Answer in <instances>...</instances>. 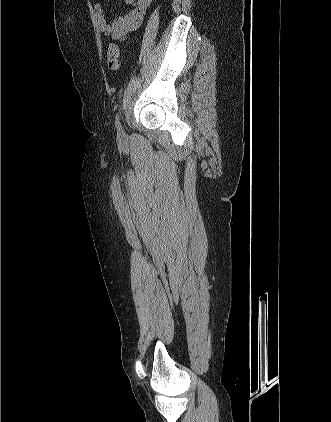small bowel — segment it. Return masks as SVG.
<instances>
[{
  "label": "small bowel",
  "instance_id": "small-bowel-1",
  "mask_svg": "<svg viewBox=\"0 0 331 422\" xmlns=\"http://www.w3.org/2000/svg\"><path fill=\"white\" fill-rule=\"evenodd\" d=\"M132 8L124 15L108 23L101 3L94 5L95 18L99 31L116 41H124L129 33L141 24L151 0H124Z\"/></svg>",
  "mask_w": 331,
  "mask_h": 422
}]
</instances>
